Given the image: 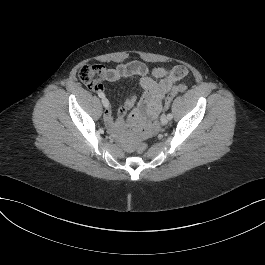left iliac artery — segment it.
<instances>
[{
	"label": "left iliac artery",
	"mask_w": 265,
	"mask_h": 265,
	"mask_svg": "<svg viewBox=\"0 0 265 265\" xmlns=\"http://www.w3.org/2000/svg\"><path fill=\"white\" fill-rule=\"evenodd\" d=\"M167 117H168L169 120H171V119L173 118V116H172L171 113H169V114L167 115Z\"/></svg>",
	"instance_id": "left-iliac-artery-1"
}]
</instances>
